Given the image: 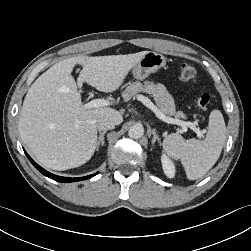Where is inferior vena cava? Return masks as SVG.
<instances>
[{
    "label": "inferior vena cava",
    "instance_id": "602c4592",
    "mask_svg": "<svg viewBox=\"0 0 251 251\" xmlns=\"http://www.w3.org/2000/svg\"><path fill=\"white\" fill-rule=\"evenodd\" d=\"M116 122L107 116L100 117L96 122L99 131H107L115 127Z\"/></svg>",
    "mask_w": 251,
    "mask_h": 251
}]
</instances>
